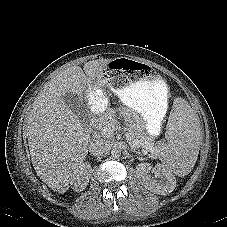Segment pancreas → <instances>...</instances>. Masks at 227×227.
<instances>
[{
    "mask_svg": "<svg viewBox=\"0 0 227 227\" xmlns=\"http://www.w3.org/2000/svg\"><path fill=\"white\" fill-rule=\"evenodd\" d=\"M116 118L113 111L108 110L99 120L97 129L99 134L104 138H112L115 131ZM138 130H136L133 124L129 125V130L127 132V139L131 145H135L138 148H142L143 151H153L156 153L152 142L142 133L143 126L138 123Z\"/></svg>",
    "mask_w": 227,
    "mask_h": 227,
    "instance_id": "1",
    "label": "pancreas"
}]
</instances>
